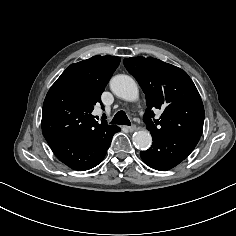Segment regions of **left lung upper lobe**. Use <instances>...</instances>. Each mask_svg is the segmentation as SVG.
<instances>
[{"label": "left lung upper lobe", "mask_w": 236, "mask_h": 236, "mask_svg": "<svg viewBox=\"0 0 236 236\" xmlns=\"http://www.w3.org/2000/svg\"><path fill=\"white\" fill-rule=\"evenodd\" d=\"M124 65L145 93L144 120L152 136L202 135L203 103L185 71L156 58L131 57ZM154 108L163 110L157 120Z\"/></svg>", "instance_id": "left-lung-upper-lobe-1"}]
</instances>
